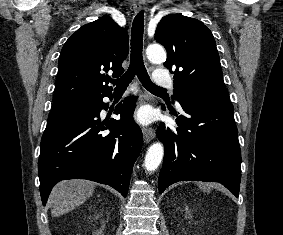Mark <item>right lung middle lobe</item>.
<instances>
[{
  "label": "right lung middle lobe",
  "mask_w": 283,
  "mask_h": 235,
  "mask_svg": "<svg viewBox=\"0 0 283 235\" xmlns=\"http://www.w3.org/2000/svg\"><path fill=\"white\" fill-rule=\"evenodd\" d=\"M91 99H77L54 103L48 117L47 127L60 124L82 112Z\"/></svg>",
  "instance_id": "dd1d6c3e"
}]
</instances>
